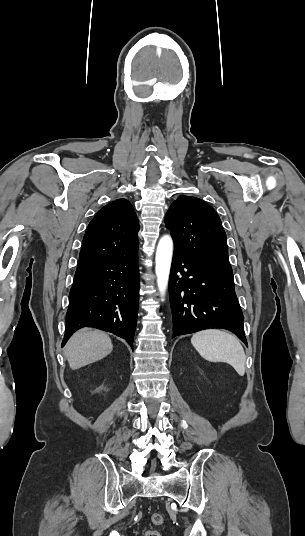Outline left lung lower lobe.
<instances>
[{
    "label": "left lung lower lobe",
    "instance_id": "left-lung-lower-lobe-1",
    "mask_svg": "<svg viewBox=\"0 0 305 536\" xmlns=\"http://www.w3.org/2000/svg\"><path fill=\"white\" fill-rule=\"evenodd\" d=\"M169 296L173 337L223 328L247 345L231 267L197 260L174 250Z\"/></svg>",
    "mask_w": 305,
    "mask_h": 536
}]
</instances>
